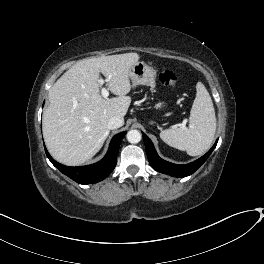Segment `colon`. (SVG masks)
<instances>
[{
  "mask_svg": "<svg viewBox=\"0 0 264 264\" xmlns=\"http://www.w3.org/2000/svg\"><path fill=\"white\" fill-rule=\"evenodd\" d=\"M159 79L162 84L170 87H175L178 83V78L176 75L169 71V70H163L159 73Z\"/></svg>",
  "mask_w": 264,
  "mask_h": 264,
  "instance_id": "1",
  "label": "colon"
}]
</instances>
